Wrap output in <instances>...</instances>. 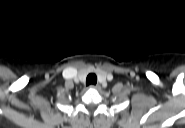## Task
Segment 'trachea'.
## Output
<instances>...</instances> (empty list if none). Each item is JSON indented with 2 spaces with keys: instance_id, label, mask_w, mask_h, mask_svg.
Returning <instances> with one entry per match:
<instances>
[{
  "instance_id": "1",
  "label": "trachea",
  "mask_w": 185,
  "mask_h": 128,
  "mask_svg": "<svg viewBox=\"0 0 185 128\" xmlns=\"http://www.w3.org/2000/svg\"><path fill=\"white\" fill-rule=\"evenodd\" d=\"M97 83V76L94 73H90L88 74L87 78H86V85H96Z\"/></svg>"
}]
</instances>
